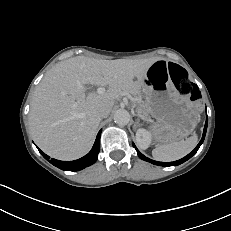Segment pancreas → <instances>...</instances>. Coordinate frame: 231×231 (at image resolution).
Returning a JSON list of instances; mask_svg holds the SVG:
<instances>
[{
	"instance_id": "pancreas-1",
	"label": "pancreas",
	"mask_w": 231,
	"mask_h": 231,
	"mask_svg": "<svg viewBox=\"0 0 231 231\" xmlns=\"http://www.w3.org/2000/svg\"><path fill=\"white\" fill-rule=\"evenodd\" d=\"M136 105H137V111L139 113H142L143 116L148 117L149 116V107L146 103H143L139 100H136Z\"/></svg>"
}]
</instances>
